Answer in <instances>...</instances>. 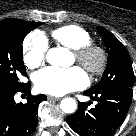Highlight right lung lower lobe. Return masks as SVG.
I'll return each mask as SVG.
<instances>
[{
    "label": "right lung lower lobe",
    "instance_id": "obj_1",
    "mask_svg": "<svg viewBox=\"0 0 136 136\" xmlns=\"http://www.w3.org/2000/svg\"><path fill=\"white\" fill-rule=\"evenodd\" d=\"M30 82L24 83L13 92H0V136H29L38 123V105L45 101V95L31 96ZM17 92L28 95L26 104H16Z\"/></svg>",
    "mask_w": 136,
    "mask_h": 136
}]
</instances>
